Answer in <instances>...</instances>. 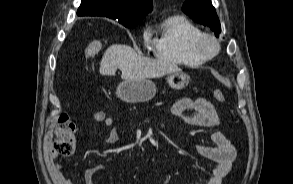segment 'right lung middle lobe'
I'll return each instance as SVG.
<instances>
[{"label": "right lung middle lobe", "instance_id": "right-lung-middle-lobe-1", "mask_svg": "<svg viewBox=\"0 0 293 184\" xmlns=\"http://www.w3.org/2000/svg\"><path fill=\"white\" fill-rule=\"evenodd\" d=\"M140 22L141 21H130V22H125L121 24H123L125 27L131 28V27L137 26Z\"/></svg>", "mask_w": 293, "mask_h": 184}]
</instances>
